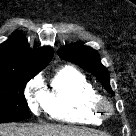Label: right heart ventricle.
<instances>
[{
	"label": "right heart ventricle",
	"instance_id": "e07e8e85",
	"mask_svg": "<svg viewBox=\"0 0 136 136\" xmlns=\"http://www.w3.org/2000/svg\"><path fill=\"white\" fill-rule=\"evenodd\" d=\"M44 96V108L56 120L72 124L101 122L93 108L99 93L89 79L74 67L65 66L58 70Z\"/></svg>",
	"mask_w": 136,
	"mask_h": 136
}]
</instances>
